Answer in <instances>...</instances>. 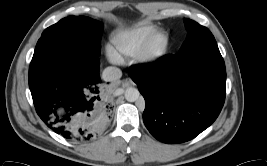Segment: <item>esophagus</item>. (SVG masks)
<instances>
[{
	"instance_id": "esophagus-1",
	"label": "esophagus",
	"mask_w": 267,
	"mask_h": 166,
	"mask_svg": "<svg viewBox=\"0 0 267 166\" xmlns=\"http://www.w3.org/2000/svg\"><path fill=\"white\" fill-rule=\"evenodd\" d=\"M131 83H132L131 81L124 82V83H123V86H124V85H126V86H127V85H129V84H131Z\"/></svg>"
}]
</instances>
